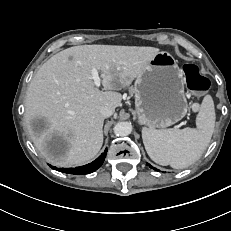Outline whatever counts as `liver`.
I'll return each instance as SVG.
<instances>
[{
    "instance_id": "liver-1",
    "label": "liver",
    "mask_w": 231,
    "mask_h": 231,
    "mask_svg": "<svg viewBox=\"0 0 231 231\" xmlns=\"http://www.w3.org/2000/svg\"><path fill=\"white\" fill-rule=\"evenodd\" d=\"M160 50L155 47L81 45L67 48L44 63L31 80L25 99V121L42 157L59 167L92 160L103 144V106L113 110L122 100L118 92L141 75ZM97 69L106 91L95 86ZM44 118L48 128L40 134L31 128ZM62 140L64 152L49 150L53 139Z\"/></svg>"
}]
</instances>
